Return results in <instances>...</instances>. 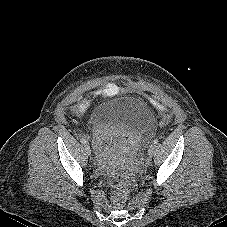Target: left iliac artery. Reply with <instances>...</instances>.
<instances>
[{
  "label": "left iliac artery",
  "mask_w": 227,
  "mask_h": 227,
  "mask_svg": "<svg viewBox=\"0 0 227 227\" xmlns=\"http://www.w3.org/2000/svg\"><path fill=\"white\" fill-rule=\"evenodd\" d=\"M158 142H159L158 139H155V140L153 141L154 144H158Z\"/></svg>",
  "instance_id": "1"
}]
</instances>
